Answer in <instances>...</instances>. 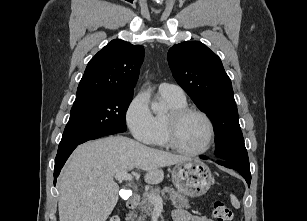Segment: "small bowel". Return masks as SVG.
<instances>
[{
	"label": "small bowel",
	"instance_id": "small-bowel-1",
	"mask_svg": "<svg viewBox=\"0 0 307 221\" xmlns=\"http://www.w3.org/2000/svg\"><path fill=\"white\" fill-rule=\"evenodd\" d=\"M172 218L173 221H213L203 215H192L189 211L182 208L174 209Z\"/></svg>",
	"mask_w": 307,
	"mask_h": 221
}]
</instances>
